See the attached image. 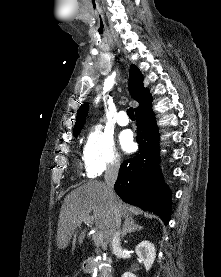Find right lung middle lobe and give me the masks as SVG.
I'll list each match as a JSON object with an SVG mask.
<instances>
[{
  "label": "right lung middle lobe",
  "mask_w": 221,
  "mask_h": 277,
  "mask_svg": "<svg viewBox=\"0 0 221 277\" xmlns=\"http://www.w3.org/2000/svg\"><path fill=\"white\" fill-rule=\"evenodd\" d=\"M79 133H80V131H79V132L74 133V136H75V137H77Z\"/></svg>",
  "instance_id": "1"
}]
</instances>
